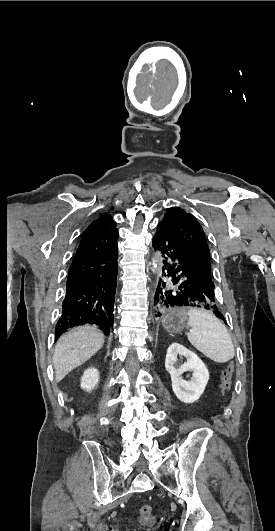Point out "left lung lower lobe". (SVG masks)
<instances>
[{
    "mask_svg": "<svg viewBox=\"0 0 275 531\" xmlns=\"http://www.w3.org/2000/svg\"><path fill=\"white\" fill-rule=\"evenodd\" d=\"M152 245L163 258L162 277L154 295L155 317H161L171 308L191 307L206 309L226 323L214 297L197 284L177 241L161 223L157 226Z\"/></svg>",
    "mask_w": 275,
    "mask_h": 531,
    "instance_id": "obj_1",
    "label": "left lung lower lobe"
}]
</instances>
